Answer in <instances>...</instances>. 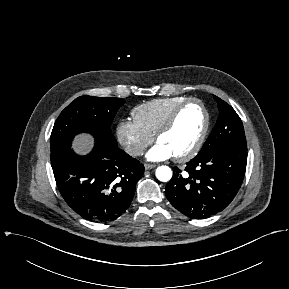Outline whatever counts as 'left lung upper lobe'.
<instances>
[{
	"label": "left lung upper lobe",
	"mask_w": 289,
	"mask_h": 289,
	"mask_svg": "<svg viewBox=\"0 0 289 289\" xmlns=\"http://www.w3.org/2000/svg\"><path fill=\"white\" fill-rule=\"evenodd\" d=\"M218 104L217 122L197 156L201 157L210 151L227 144L246 145L242 121L235 110L225 101L214 96Z\"/></svg>",
	"instance_id": "1"
}]
</instances>
